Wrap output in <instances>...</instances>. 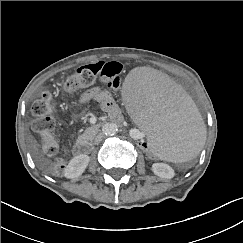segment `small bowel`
I'll return each instance as SVG.
<instances>
[{
	"mask_svg": "<svg viewBox=\"0 0 243 243\" xmlns=\"http://www.w3.org/2000/svg\"><path fill=\"white\" fill-rule=\"evenodd\" d=\"M90 101L99 102L102 108L107 112L114 113L117 111V105L112 94L108 90L102 89L100 87H93L87 90L81 95L79 99V103L81 105Z\"/></svg>",
	"mask_w": 243,
	"mask_h": 243,
	"instance_id": "obj_1",
	"label": "small bowel"
}]
</instances>
